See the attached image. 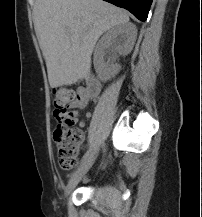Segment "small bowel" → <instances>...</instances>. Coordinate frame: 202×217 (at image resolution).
Instances as JSON below:
<instances>
[{
  "label": "small bowel",
  "mask_w": 202,
  "mask_h": 217,
  "mask_svg": "<svg viewBox=\"0 0 202 217\" xmlns=\"http://www.w3.org/2000/svg\"><path fill=\"white\" fill-rule=\"evenodd\" d=\"M78 92L81 95V99L71 107L72 110L70 111L69 118H70V121L72 123H78V125L80 127H84L85 120H88L91 118V113H86L85 120L78 122V110L85 108L91 100H93L97 97L98 94L97 95H89L87 93V89H83V88L79 89Z\"/></svg>",
  "instance_id": "small-bowel-1"
}]
</instances>
